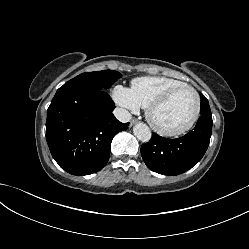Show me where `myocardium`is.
Segmentation results:
<instances>
[{"mask_svg":"<svg viewBox=\"0 0 249 249\" xmlns=\"http://www.w3.org/2000/svg\"><path fill=\"white\" fill-rule=\"evenodd\" d=\"M184 89H188V90L192 91L194 96H195L196 106H195V111L193 113V116L191 117V119L189 120V122L186 125H184L183 127L179 128V129L166 130V129L160 127L155 122V120L153 118L154 111L156 109H158L159 107H161L162 105H164L165 103H167L174 94H176L177 92L184 90ZM200 111H201V98H200L199 93L191 85L183 84V85H178V86H175V87L169 89L164 94H162L160 97H158L153 102H151L146 109V117H147L149 124L156 132H158L164 136L173 137V136H179V135H182V134H185L186 132H188L197 122L199 115H200Z\"/></svg>","mask_w":249,"mask_h":249,"instance_id":"1","label":"myocardium"}]
</instances>
